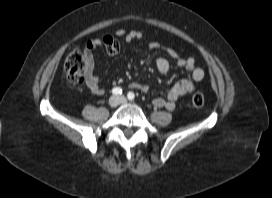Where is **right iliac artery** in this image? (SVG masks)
<instances>
[{"mask_svg": "<svg viewBox=\"0 0 272 198\" xmlns=\"http://www.w3.org/2000/svg\"><path fill=\"white\" fill-rule=\"evenodd\" d=\"M112 93L114 95H121L122 94V89L120 87H115L112 89Z\"/></svg>", "mask_w": 272, "mask_h": 198, "instance_id": "right-iliac-artery-1", "label": "right iliac artery"}]
</instances>
